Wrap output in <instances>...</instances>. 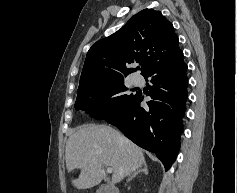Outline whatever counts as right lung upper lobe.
<instances>
[{
    "label": "right lung upper lobe",
    "instance_id": "1",
    "mask_svg": "<svg viewBox=\"0 0 237 193\" xmlns=\"http://www.w3.org/2000/svg\"><path fill=\"white\" fill-rule=\"evenodd\" d=\"M180 49L173 25L160 11L144 9L124 27L97 41L89 49L78 91L105 82L124 80L135 71L126 66L137 62L145 75L154 65Z\"/></svg>",
    "mask_w": 237,
    "mask_h": 193
}]
</instances>
